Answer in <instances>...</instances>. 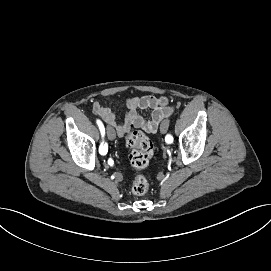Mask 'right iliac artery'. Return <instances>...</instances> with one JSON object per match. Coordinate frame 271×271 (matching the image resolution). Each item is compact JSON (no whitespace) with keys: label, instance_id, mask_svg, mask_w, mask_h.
<instances>
[{"label":"right iliac artery","instance_id":"1","mask_svg":"<svg viewBox=\"0 0 271 271\" xmlns=\"http://www.w3.org/2000/svg\"><path fill=\"white\" fill-rule=\"evenodd\" d=\"M97 124L99 126L100 132L102 137L105 135V128L103 123L100 120H97ZM102 144H103V152L109 153V147H108V141L107 138H102Z\"/></svg>","mask_w":271,"mask_h":271}]
</instances>
